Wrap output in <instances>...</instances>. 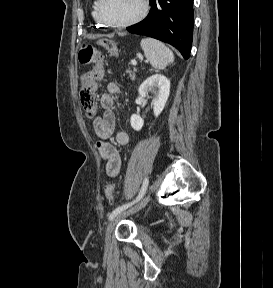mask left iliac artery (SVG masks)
I'll list each match as a JSON object with an SVG mask.
<instances>
[{
    "instance_id": "left-iliac-artery-1",
    "label": "left iliac artery",
    "mask_w": 273,
    "mask_h": 288,
    "mask_svg": "<svg viewBox=\"0 0 273 288\" xmlns=\"http://www.w3.org/2000/svg\"><path fill=\"white\" fill-rule=\"evenodd\" d=\"M148 184H149V179L148 177H146L144 179V182H143V185L141 187V190L139 192V195L136 197L135 200H133L132 202L130 203H127V204H123L121 206H118L115 210L112 211V213L109 215V220L113 219L117 214H119L120 212L124 211L125 209L129 208L130 206L134 205L135 203H137L138 201H140V199L144 196L146 190H147V187H148Z\"/></svg>"
}]
</instances>
